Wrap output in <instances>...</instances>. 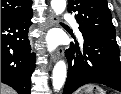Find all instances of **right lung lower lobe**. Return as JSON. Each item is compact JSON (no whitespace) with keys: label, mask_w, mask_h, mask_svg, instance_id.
Here are the masks:
<instances>
[{"label":"right lung lower lobe","mask_w":121,"mask_h":94,"mask_svg":"<svg viewBox=\"0 0 121 94\" xmlns=\"http://www.w3.org/2000/svg\"><path fill=\"white\" fill-rule=\"evenodd\" d=\"M32 8L24 13L1 19V82L19 94H30V79L35 68L28 28L32 24Z\"/></svg>","instance_id":"1"}]
</instances>
